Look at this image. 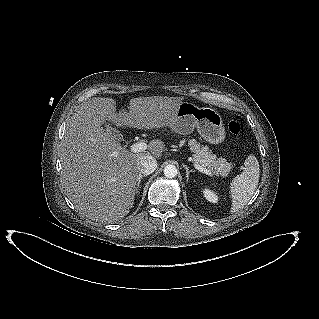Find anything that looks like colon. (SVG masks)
<instances>
[{
	"mask_svg": "<svg viewBox=\"0 0 319 319\" xmlns=\"http://www.w3.org/2000/svg\"><path fill=\"white\" fill-rule=\"evenodd\" d=\"M242 120L241 119H234L231 120L228 124V130L230 133L238 135L242 131Z\"/></svg>",
	"mask_w": 319,
	"mask_h": 319,
	"instance_id": "obj_1",
	"label": "colon"
}]
</instances>
